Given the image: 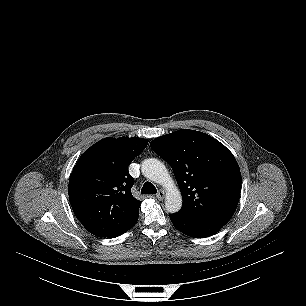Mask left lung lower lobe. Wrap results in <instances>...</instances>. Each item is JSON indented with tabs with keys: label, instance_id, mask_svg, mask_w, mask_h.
Listing matches in <instances>:
<instances>
[{
	"label": "left lung lower lobe",
	"instance_id": "1",
	"mask_svg": "<svg viewBox=\"0 0 306 306\" xmlns=\"http://www.w3.org/2000/svg\"><path fill=\"white\" fill-rule=\"evenodd\" d=\"M170 219L178 230L188 236L196 238L209 237L224 226L216 223L195 221L179 213L171 214Z\"/></svg>",
	"mask_w": 306,
	"mask_h": 306
}]
</instances>
